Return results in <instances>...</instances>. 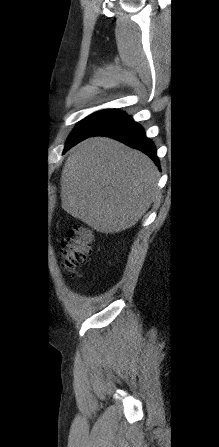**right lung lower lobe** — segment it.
I'll use <instances>...</instances> for the list:
<instances>
[{
    "instance_id": "1",
    "label": "right lung lower lobe",
    "mask_w": 219,
    "mask_h": 447,
    "mask_svg": "<svg viewBox=\"0 0 219 447\" xmlns=\"http://www.w3.org/2000/svg\"><path fill=\"white\" fill-rule=\"evenodd\" d=\"M92 136L111 137L123 142L124 144L132 148L141 150L142 152L147 154L159 167V162L156 155V148L154 144L145 136V132L142 127L134 122L131 116L125 115L113 121ZM72 146H69L67 150Z\"/></svg>"
}]
</instances>
